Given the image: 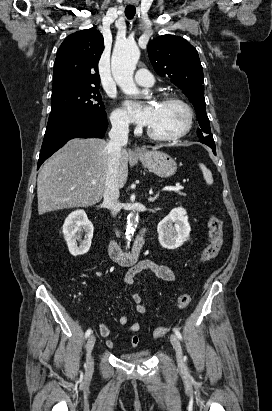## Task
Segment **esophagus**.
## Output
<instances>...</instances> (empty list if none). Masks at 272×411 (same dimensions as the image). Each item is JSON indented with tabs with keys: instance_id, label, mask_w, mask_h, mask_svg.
Instances as JSON below:
<instances>
[{
	"instance_id": "1",
	"label": "esophagus",
	"mask_w": 272,
	"mask_h": 411,
	"mask_svg": "<svg viewBox=\"0 0 272 411\" xmlns=\"http://www.w3.org/2000/svg\"><path fill=\"white\" fill-rule=\"evenodd\" d=\"M133 154H135V155H140V154H142V150L139 149V148H134V149H133Z\"/></svg>"
}]
</instances>
